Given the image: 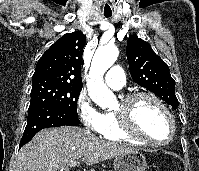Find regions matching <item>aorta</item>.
Segmentation results:
<instances>
[{
	"label": "aorta",
	"instance_id": "aorta-1",
	"mask_svg": "<svg viewBox=\"0 0 199 171\" xmlns=\"http://www.w3.org/2000/svg\"><path fill=\"white\" fill-rule=\"evenodd\" d=\"M118 49L114 46L100 47L94 54L87 83L91 99L101 108H112L115 96L108 89L103 80L105 72L114 64L118 57Z\"/></svg>",
	"mask_w": 199,
	"mask_h": 171
}]
</instances>
